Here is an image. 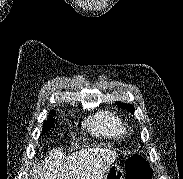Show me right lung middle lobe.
<instances>
[{
  "mask_svg": "<svg viewBox=\"0 0 183 179\" xmlns=\"http://www.w3.org/2000/svg\"><path fill=\"white\" fill-rule=\"evenodd\" d=\"M52 115H55L54 111H51V115L47 119V121H44V128L42 129V135L45 134L48 130L51 129V127L54 126V119L51 118Z\"/></svg>",
  "mask_w": 183,
  "mask_h": 179,
  "instance_id": "right-lung-middle-lobe-1",
  "label": "right lung middle lobe"
}]
</instances>
